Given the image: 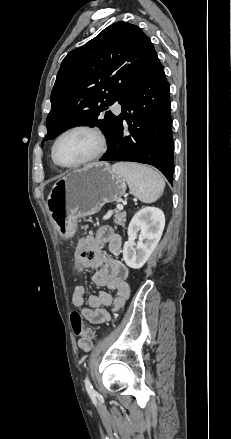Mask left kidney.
<instances>
[{"label": "left kidney", "instance_id": "1", "mask_svg": "<svg viewBox=\"0 0 231 439\" xmlns=\"http://www.w3.org/2000/svg\"><path fill=\"white\" fill-rule=\"evenodd\" d=\"M164 226L165 215L159 208L145 207L133 216L128 227V240L123 247V259L127 266L139 269L147 262L160 241Z\"/></svg>", "mask_w": 231, "mask_h": 439}]
</instances>
